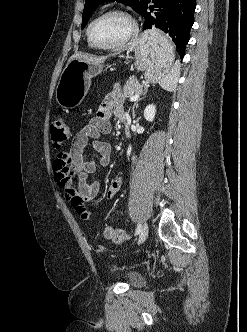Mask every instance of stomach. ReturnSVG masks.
Listing matches in <instances>:
<instances>
[{"mask_svg": "<svg viewBox=\"0 0 247 332\" xmlns=\"http://www.w3.org/2000/svg\"><path fill=\"white\" fill-rule=\"evenodd\" d=\"M135 52L136 69L145 72L149 82H158L171 69L175 55L171 42L157 30L141 33L127 47ZM102 63H88L79 59L69 61L62 71L57 87L56 101L64 110L81 104L91 85V78L103 71Z\"/></svg>", "mask_w": 247, "mask_h": 332, "instance_id": "1", "label": "stomach"}]
</instances>
